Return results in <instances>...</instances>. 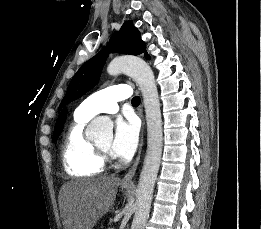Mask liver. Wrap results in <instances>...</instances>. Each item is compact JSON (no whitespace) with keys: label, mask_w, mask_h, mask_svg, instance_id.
<instances>
[{"label":"liver","mask_w":261,"mask_h":229,"mask_svg":"<svg viewBox=\"0 0 261 229\" xmlns=\"http://www.w3.org/2000/svg\"><path fill=\"white\" fill-rule=\"evenodd\" d=\"M120 179L98 177L77 179L64 185V225L68 229H93L108 213L115 199Z\"/></svg>","instance_id":"6515ba94"}]
</instances>
